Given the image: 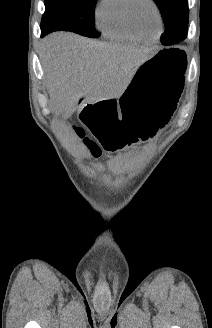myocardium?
Wrapping results in <instances>:
<instances>
[{
    "mask_svg": "<svg viewBox=\"0 0 212 328\" xmlns=\"http://www.w3.org/2000/svg\"><path fill=\"white\" fill-rule=\"evenodd\" d=\"M145 1L148 2L153 7V9L156 12L159 25H158V30L155 33V35L159 36L161 34V32H162V29H163V17H162L161 10H160V8L157 5V3H156L155 0H145ZM138 2H140V0H129V5H128V9H127V15H128V19H129V22H130L132 28L134 29V31L137 34L140 35L141 32H142V29L139 26V24H138V22H137V20L135 18V14H134L135 6H136V4Z\"/></svg>",
    "mask_w": 212,
    "mask_h": 328,
    "instance_id": "1",
    "label": "myocardium"
}]
</instances>
